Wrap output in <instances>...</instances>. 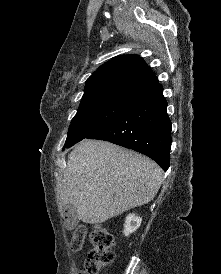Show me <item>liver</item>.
I'll use <instances>...</instances> for the list:
<instances>
[{
  "label": "liver",
  "instance_id": "6515ba94",
  "mask_svg": "<svg viewBox=\"0 0 221 274\" xmlns=\"http://www.w3.org/2000/svg\"><path fill=\"white\" fill-rule=\"evenodd\" d=\"M151 159L104 141L83 140L68 155L58 205L77 208L84 223L98 224L149 203L162 182Z\"/></svg>",
  "mask_w": 221,
  "mask_h": 274
}]
</instances>
